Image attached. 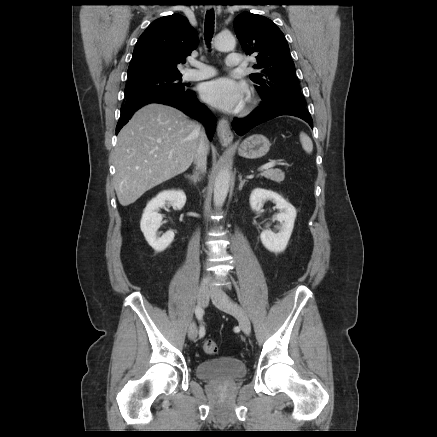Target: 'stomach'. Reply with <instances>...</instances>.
<instances>
[{
	"label": "stomach",
	"instance_id": "0dacf381",
	"mask_svg": "<svg viewBox=\"0 0 437 437\" xmlns=\"http://www.w3.org/2000/svg\"><path fill=\"white\" fill-rule=\"evenodd\" d=\"M271 147V143L265 136L254 134L247 137L238 147V154L247 159H258L265 156Z\"/></svg>",
	"mask_w": 437,
	"mask_h": 437
}]
</instances>
